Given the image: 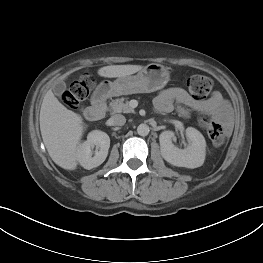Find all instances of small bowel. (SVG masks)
<instances>
[{
  "mask_svg": "<svg viewBox=\"0 0 263 263\" xmlns=\"http://www.w3.org/2000/svg\"><path fill=\"white\" fill-rule=\"evenodd\" d=\"M154 107L161 113L177 110L180 115L188 116L189 110H194L226 121L229 119V105L217 91L207 99H198L180 87H170L157 94Z\"/></svg>",
  "mask_w": 263,
  "mask_h": 263,
  "instance_id": "obj_1",
  "label": "small bowel"
}]
</instances>
